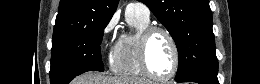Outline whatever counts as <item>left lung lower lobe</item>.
I'll list each match as a JSON object with an SVG mask.
<instances>
[{"instance_id": "0a47b994", "label": "left lung lower lobe", "mask_w": 260, "mask_h": 84, "mask_svg": "<svg viewBox=\"0 0 260 84\" xmlns=\"http://www.w3.org/2000/svg\"><path fill=\"white\" fill-rule=\"evenodd\" d=\"M177 82H196L199 84H219L217 73H200L189 77L184 81Z\"/></svg>"}]
</instances>
